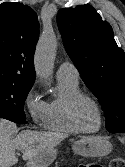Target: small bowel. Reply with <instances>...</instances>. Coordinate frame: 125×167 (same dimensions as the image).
<instances>
[{"label":"small bowel","mask_w":125,"mask_h":167,"mask_svg":"<svg viewBox=\"0 0 125 167\" xmlns=\"http://www.w3.org/2000/svg\"><path fill=\"white\" fill-rule=\"evenodd\" d=\"M92 166H93V167H101L100 165H95V164H93Z\"/></svg>","instance_id":"small-bowel-1"}]
</instances>
